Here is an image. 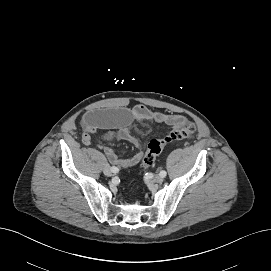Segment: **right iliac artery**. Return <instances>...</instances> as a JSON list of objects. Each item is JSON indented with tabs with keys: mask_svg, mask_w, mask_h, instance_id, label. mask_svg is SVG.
Segmentation results:
<instances>
[{
	"mask_svg": "<svg viewBox=\"0 0 271 271\" xmlns=\"http://www.w3.org/2000/svg\"><path fill=\"white\" fill-rule=\"evenodd\" d=\"M111 170H112L113 173H118L119 172V169L117 167H115V166H112Z\"/></svg>",
	"mask_w": 271,
	"mask_h": 271,
	"instance_id": "82829eb1",
	"label": "right iliac artery"
}]
</instances>
